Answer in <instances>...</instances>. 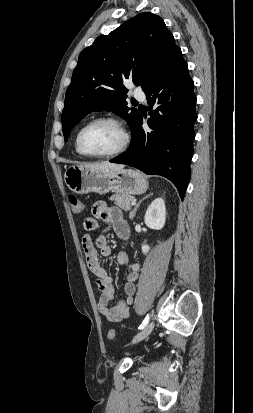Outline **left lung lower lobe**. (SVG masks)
<instances>
[{"label": "left lung lower lobe", "instance_id": "obj_1", "mask_svg": "<svg viewBox=\"0 0 253 413\" xmlns=\"http://www.w3.org/2000/svg\"><path fill=\"white\" fill-rule=\"evenodd\" d=\"M188 65L178 48L164 71L145 91L151 116V132L142 128V116L129 149L110 160L135 167L149 175L169 179L183 199L190 179V160L195 138L196 97Z\"/></svg>", "mask_w": 253, "mask_h": 413}]
</instances>
